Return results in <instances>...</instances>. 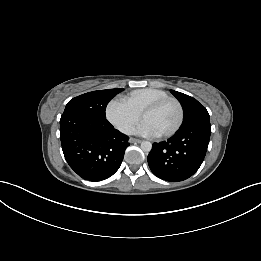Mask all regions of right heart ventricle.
I'll list each match as a JSON object with an SVG mask.
<instances>
[{"label": "right heart ventricle", "instance_id": "obj_1", "mask_svg": "<svg viewBox=\"0 0 261 261\" xmlns=\"http://www.w3.org/2000/svg\"><path fill=\"white\" fill-rule=\"evenodd\" d=\"M169 97L168 93L156 88H143L131 91L122 99L136 112L142 113L143 109L150 103Z\"/></svg>", "mask_w": 261, "mask_h": 261}]
</instances>
